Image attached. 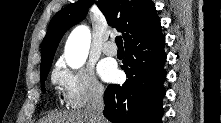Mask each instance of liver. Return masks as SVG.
Returning a JSON list of instances; mask_svg holds the SVG:
<instances>
[{
    "label": "liver",
    "mask_w": 221,
    "mask_h": 123,
    "mask_svg": "<svg viewBox=\"0 0 221 123\" xmlns=\"http://www.w3.org/2000/svg\"><path fill=\"white\" fill-rule=\"evenodd\" d=\"M44 123H91L88 113L85 111L65 112L51 115Z\"/></svg>",
    "instance_id": "1"
}]
</instances>
